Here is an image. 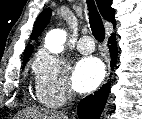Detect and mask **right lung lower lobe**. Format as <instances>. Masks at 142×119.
I'll use <instances>...</instances> for the list:
<instances>
[{"instance_id": "right-lung-lower-lobe-1", "label": "right lung lower lobe", "mask_w": 142, "mask_h": 119, "mask_svg": "<svg viewBox=\"0 0 142 119\" xmlns=\"http://www.w3.org/2000/svg\"><path fill=\"white\" fill-rule=\"evenodd\" d=\"M115 35L109 38V49L111 55V63L115 65L117 58V45L115 42ZM110 83L104 84L94 95L85 97L78 105L79 119H99L109 93Z\"/></svg>"}]
</instances>
